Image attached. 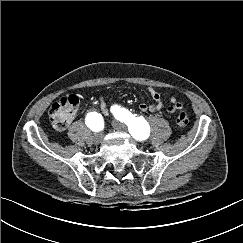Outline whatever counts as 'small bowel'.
Listing matches in <instances>:
<instances>
[{
  "instance_id": "c3829d8e",
  "label": "small bowel",
  "mask_w": 243,
  "mask_h": 243,
  "mask_svg": "<svg viewBox=\"0 0 243 243\" xmlns=\"http://www.w3.org/2000/svg\"><path fill=\"white\" fill-rule=\"evenodd\" d=\"M148 93L150 97L154 100V104H146V103H140L138 105V109L141 112H157L160 110L165 109L168 113H174L183 108V105L181 102L177 101L175 97H170L169 99V105L165 108L164 101L160 93H158L153 88H148ZM100 110L103 114H107L109 109L107 105L104 103L103 99L100 98Z\"/></svg>"
}]
</instances>
